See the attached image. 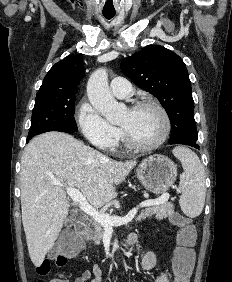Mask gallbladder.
<instances>
[{
	"mask_svg": "<svg viewBox=\"0 0 232 282\" xmlns=\"http://www.w3.org/2000/svg\"><path fill=\"white\" fill-rule=\"evenodd\" d=\"M66 223H72L71 219H66Z\"/></svg>",
	"mask_w": 232,
	"mask_h": 282,
	"instance_id": "bac80fb5",
	"label": "gallbladder"
}]
</instances>
